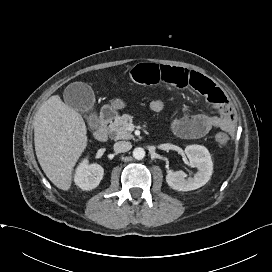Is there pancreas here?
<instances>
[{"label":"pancreas","mask_w":272,"mask_h":272,"mask_svg":"<svg viewBox=\"0 0 272 272\" xmlns=\"http://www.w3.org/2000/svg\"><path fill=\"white\" fill-rule=\"evenodd\" d=\"M133 122V116L129 114H123L122 116H116L114 122L109 125V131L111 136L115 140L132 139L133 135L127 129V125Z\"/></svg>","instance_id":"pancreas-1"}]
</instances>
